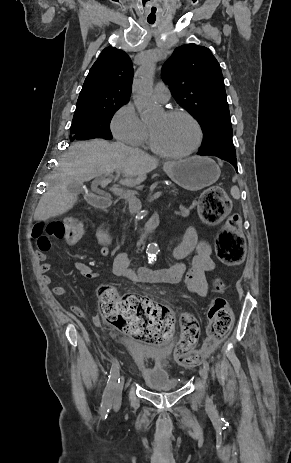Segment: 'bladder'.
Here are the masks:
<instances>
[{
    "instance_id": "1",
    "label": "bladder",
    "mask_w": 291,
    "mask_h": 463,
    "mask_svg": "<svg viewBox=\"0 0 291 463\" xmlns=\"http://www.w3.org/2000/svg\"><path fill=\"white\" fill-rule=\"evenodd\" d=\"M129 356L136 362L150 363L139 371L143 384L149 389L179 388L184 380L171 376L168 368V357L153 352L150 346L138 340L126 338L123 341Z\"/></svg>"
}]
</instances>
